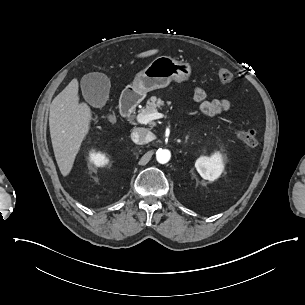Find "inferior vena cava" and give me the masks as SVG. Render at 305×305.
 Masks as SVG:
<instances>
[{"mask_svg":"<svg viewBox=\"0 0 305 305\" xmlns=\"http://www.w3.org/2000/svg\"><path fill=\"white\" fill-rule=\"evenodd\" d=\"M151 132L146 128H136L131 133V139L136 144H145L149 142Z\"/></svg>","mask_w":305,"mask_h":305,"instance_id":"602c4592","label":"inferior vena cava"}]
</instances>
